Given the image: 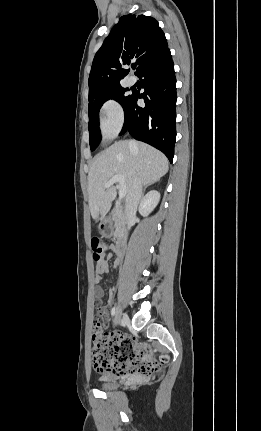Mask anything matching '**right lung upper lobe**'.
Returning a JSON list of instances; mask_svg holds the SVG:
<instances>
[{
	"instance_id": "right-lung-upper-lobe-1",
	"label": "right lung upper lobe",
	"mask_w": 261,
	"mask_h": 431,
	"mask_svg": "<svg viewBox=\"0 0 261 431\" xmlns=\"http://www.w3.org/2000/svg\"><path fill=\"white\" fill-rule=\"evenodd\" d=\"M168 47L158 21L144 15H124L97 51L89 75V96L119 85L134 61L136 74Z\"/></svg>"
}]
</instances>
